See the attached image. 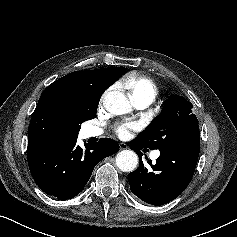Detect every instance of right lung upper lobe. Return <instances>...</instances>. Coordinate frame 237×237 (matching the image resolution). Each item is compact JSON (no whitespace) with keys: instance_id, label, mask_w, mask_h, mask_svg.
Masks as SVG:
<instances>
[{"instance_id":"obj_1","label":"right lung upper lobe","mask_w":237,"mask_h":237,"mask_svg":"<svg viewBox=\"0 0 237 237\" xmlns=\"http://www.w3.org/2000/svg\"><path fill=\"white\" fill-rule=\"evenodd\" d=\"M105 69L115 81L126 71L124 67ZM107 88L102 86L95 70L75 71L53 82L42 93L31 118L28 146L46 139L73 136V108L99 102Z\"/></svg>"}]
</instances>
